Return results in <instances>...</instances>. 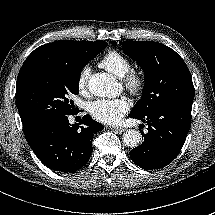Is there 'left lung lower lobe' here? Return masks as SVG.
Listing matches in <instances>:
<instances>
[{"instance_id": "0a47b994", "label": "left lung lower lobe", "mask_w": 215, "mask_h": 215, "mask_svg": "<svg viewBox=\"0 0 215 215\" xmlns=\"http://www.w3.org/2000/svg\"><path fill=\"white\" fill-rule=\"evenodd\" d=\"M191 109L192 101H185L160 107L137 118L147 123L148 133L144 134V142L129 152L131 160L145 170L170 164L186 140L191 126Z\"/></svg>"}]
</instances>
